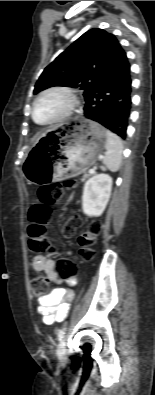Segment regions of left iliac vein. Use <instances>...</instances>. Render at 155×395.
<instances>
[{
  "label": "left iliac vein",
  "mask_w": 155,
  "mask_h": 395,
  "mask_svg": "<svg viewBox=\"0 0 155 395\" xmlns=\"http://www.w3.org/2000/svg\"><path fill=\"white\" fill-rule=\"evenodd\" d=\"M65 346H66V337L64 336L57 347V356L60 360L65 359Z\"/></svg>",
  "instance_id": "1"
}]
</instances>
